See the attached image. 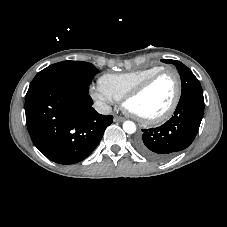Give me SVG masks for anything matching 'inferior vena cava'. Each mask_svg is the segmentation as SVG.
<instances>
[{
	"label": "inferior vena cava",
	"mask_w": 227,
	"mask_h": 227,
	"mask_svg": "<svg viewBox=\"0 0 227 227\" xmlns=\"http://www.w3.org/2000/svg\"><path fill=\"white\" fill-rule=\"evenodd\" d=\"M95 110L100 114L108 115L111 113L112 108L107 104H96Z\"/></svg>",
	"instance_id": "obj_1"
}]
</instances>
